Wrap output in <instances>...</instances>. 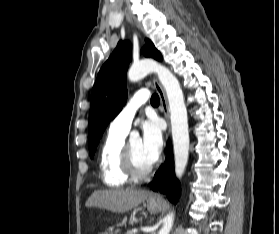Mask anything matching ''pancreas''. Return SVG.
I'll return each mask as SVG.
<instances>
[{"label":"pancreas","mask_w":279,"mask_h":234,"mask_svg":"<svg viewBox=\"0 0 279 234\" xmlns=\"http://www.w3.org/2000/svg\"><path fill=\"white\" fill-rule=\"evenodd\" d=\"M126 234H132L130 231H128Z\"/></svg>","instance_id":"pancreas-1"}]
</instances>
